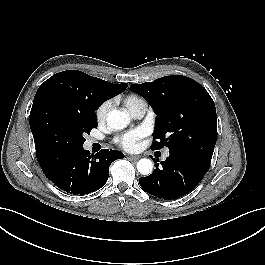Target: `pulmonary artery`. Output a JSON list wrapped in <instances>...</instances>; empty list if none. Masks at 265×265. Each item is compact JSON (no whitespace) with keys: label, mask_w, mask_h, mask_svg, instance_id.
<instances>
[{"label":"pulmonary artery","mask_w":265,"mask_h":265,"mask_svg":"<svg viewBox=\"0 0 265 265\" xmlns=\"http://www.w3.org/2000/svg\"><path fill=\"white\" fill-rule=\"evenodd\" d=\"M146 109H147V106H141L139 107L138 109H136L132 115L135 117V118H141L144 116V114L146 113ZM94 140H91L90 143H92ZM169 156V152L168 151H165L164 154H163V159H166L167 157Z\"/></svg>","instance_id":"e3ab8cb5"}]
</instances>
